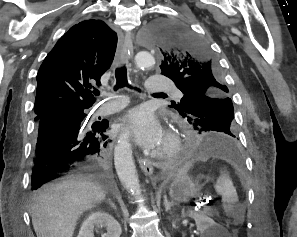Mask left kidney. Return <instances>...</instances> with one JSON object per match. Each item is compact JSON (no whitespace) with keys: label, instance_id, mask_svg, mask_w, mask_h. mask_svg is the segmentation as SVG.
Masks as SVG:
<instances>
[{"label":"left kidney","instance_id":"obj_1","mask_svg":"<svg viewBox=\"0 0 297 237\" xmlns=\"http://www.w3.org/2000/svg\"><path fill=\"white\" fill-rule=\"evenodd\" d=\"M183 216L185 215L183 214ZM188 216L195 220L201 237H218L220 226L213 219L193 211H190Z\"/></svg>","mask_w":297,"mask_h":237}]
</instances>
